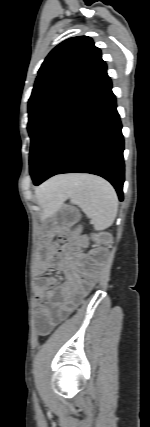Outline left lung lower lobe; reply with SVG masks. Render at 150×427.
I'll list each match as a JSON object with an SVG mask.
<instances>
[{
  "label": "left lung lower lobe",
  "mask_w": 150,
  "mask_h": 427,
  "mask_svg": "<svg viewBox=\"0 0 150 427\" xmlns=\"http://www.w3.org/2000/svg\"><path fill=\"white\" fill-rule=\"evenodd\" d=\"M106 70L47 120L31 138L30 174L35 185L69 172L108 180L123 200L124 141Z\"/></svg>",
  "instance_id": "0a47b994"
}]
</instances>
